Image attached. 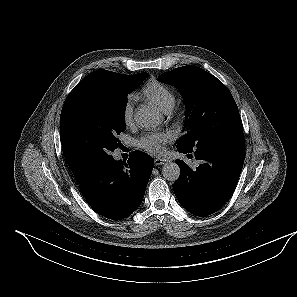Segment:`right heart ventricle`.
<instances>
[{"label":"right heart ventricle","instance_id":"obj_1","mask_svg":"<svg viewBox=\"0 0 297 297\" xmlns=\"http://www.w3.org/2000/svg\"><path fill=\"white\" fill-rule=\"evenodd\" d=\"M141 94L165 112L171 110L175 104V96L172 90L157 80L147 82L143 86Z\"/></svg>","mask_w":297,"mask_h":297}]
</instances>
